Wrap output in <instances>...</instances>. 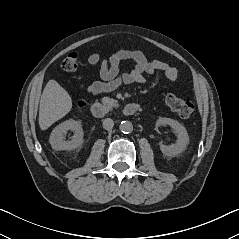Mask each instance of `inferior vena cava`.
<instances>
[{
  "instance_id": "602c4592",
  "label": "inferior vena cava",
  "mask_w": 239,
  "mask_h": 239,
  "mask_svg": "<svg viewBox=\"0 0 239 239\" xmlns=\"http://www.w3.org/2000/svg\"><path fill=\"white\" fill-rule=\"evenodd\" d=\"M113 126H114V121L111 118H106L103 120V128L105 130H108V131L112 130Z\"/></svg>"
}]
</instances>
